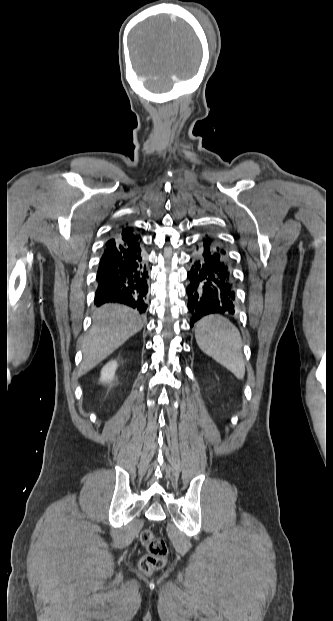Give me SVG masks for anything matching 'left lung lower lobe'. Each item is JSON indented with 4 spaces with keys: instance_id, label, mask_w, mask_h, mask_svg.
<instances>
[{
    "instance_id": "0a47b994",
    "label": "left lung lower lobe",
    "mask_w": 333,
    "mask_h": 621,
    "mask_svg": "<svg viewBox=\"0 0 333 621\" xmlns=\"http://www.w3.org/2000/svg\"><path fill=\"white\" fill-rule=\"evenodd\" d=\"M187 276L191 327L205 315L234 314L236 303L229 256L217 240L208 236L203 239L193 253Z\"/></svg>"
}]
</instances>
